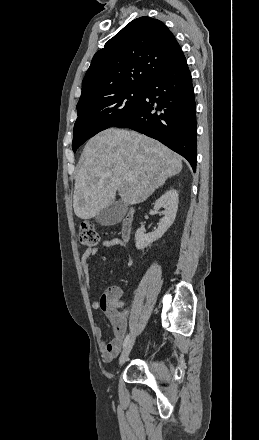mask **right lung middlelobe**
I'll list each match as a JSON object with an SVG mask.
<instances>
[{
	"mask_svg": "<svg viewBox=\"0 0 259 440\" xmlns=\"http://www.w3.org/2000/svg\"><path fill=\"white\" fill-rule=\"evenodd\" d=\"M146 90L147 88L124 89L77 108L73 151L98 132L115 126L130 116L142 102Z\"/></svg>",
	"mask_w": 259,
	"mask_h": 440,
	"instance_id": "dd1d6c3e",
	"label": "right lung middle lobe"
}]
</instances>
